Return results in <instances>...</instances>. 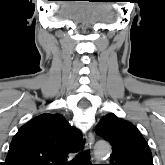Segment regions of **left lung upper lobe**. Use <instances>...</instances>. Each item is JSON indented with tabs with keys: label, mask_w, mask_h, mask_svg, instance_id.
Masks as SVG:
<instances>
[{
	"label": "left lung upper lobe",
	"mask_w": 165,
	"mask_h": 165,
	"mask_svg": "<svg viewBox=\"0 0 165 165\" xmlns=\"http://www.w3.org/2000/svg\"><path fill=\"white\" fill-rule=\"evenodd\" d=\"M95 131L112 145L110 165H153L147 142L130 122L107 114Z\"/></svg>",
	"instance_id": "1"
}]
</instances>
